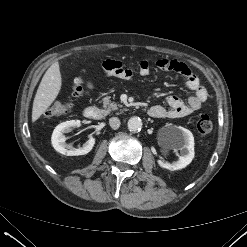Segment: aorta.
<instances>
[{"label":"aorta","instance_id":"762f6f07","mask_svg":"<svg viewBox=\"0 0 247 247\" xmlns=\"http://www.w3.org/2000/svg\"><path fill=\"white\" fill-rule=\"evenodd\" d=\"M142 120L139 117H131L128 120L127 126L130 132L136 133L142 129Z\"/></svg>","mask_w":247,"mask_h":247}]
</instances>
